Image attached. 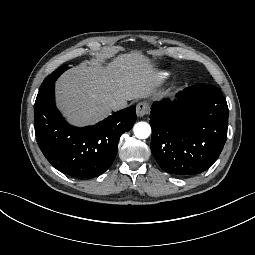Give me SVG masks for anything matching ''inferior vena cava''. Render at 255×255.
<instances>
[{
	"instance_id": "obj_1",
	"label": "inferior vena cava",
	"mask_w": 255,
	"mask_h": 255,
	"mask_svg": "<svg viewBox=\"0 0 255 255\" xmlns=\"http://www.w3.org/2000/svg\"><path fill=\"white\" fill-rule=\"evenodd\" d=\"M126 106V102L122 100H112L110 107L113 110H117Z\"/></svg>"
}]
</instances>
